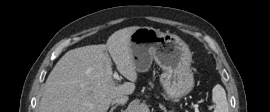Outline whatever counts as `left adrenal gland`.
Here are the masks:
<instances>
[{"instance_id": "left-adrenal-gland-1", "label": "left adrenal gland", "mask_w": 270, "mask_h": 112, "mask_svg": "<svg viewBox=\"0 0 270 112\" xmlns=\"http://www.w3.org/2000/svg\"><path fill=\"white\" fill-rule=\"evenodd\" d=\"M159 107L161 108V110H163L164 112H172V111H167V109L163 106V105H159Z\"/></svg>"}]
</instances>
